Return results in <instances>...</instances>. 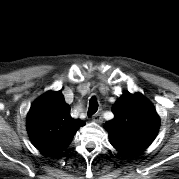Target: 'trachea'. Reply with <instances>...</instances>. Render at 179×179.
<instances>
[{
    "mask_svg": "<svg viewBox=\"0 0 179 179\" xmlns=\"http://www.w3.org/2000/svg\"><path fill=\"white\" fill-rule=\"evenodd\" d=\"M98 110V102L96 98L93 96L89 101V107H88V116H92L94 113H96Z\"/></svg>",
    "mask_w": 179,
    "mask_h": 179,
    "instance_id": "trachea-1",
    "label": "trachea"
}]
</instances>
